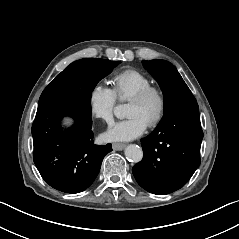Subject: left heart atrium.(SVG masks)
Wrapping results in <instances>:
<instances>
[{"instance_id": "1", "label": "left heart atrium", "mask_w": 239, "mask_h": 239, "mask_svg": "<svg viewBox=\"0 0 239 239\" xmlns=\"http://www.w3.org/2000/svg\"><path fill=\"white\" fill-rule=\"evenodd\" d=\"M148 127V123L139 115L134 114L127 119L112 124L104 134L107 140H132L140 136Z\"/></svg>"}]
</instances>
